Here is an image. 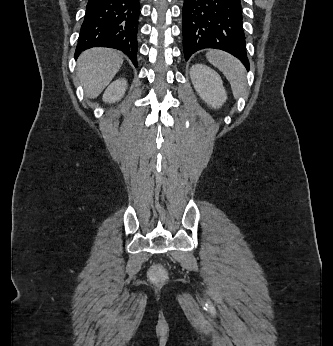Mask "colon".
Returning <instances> with one entry per match:
<instances>
[{"instance_id": "colon-1", "label": "colon", "mask_w": 333, "mask_h": 346, "mask_svg": "<svg viewBox=\"0 0 333 346\" xmlns=\"http://www.w3.org/2000/svg\"><path fill=\"white\" fill-rule=\"evenodd\" d=\"M148 275L153 283H158L159 287L163 286L165 280H169V273L164 269L163 264H154L153 269L148 270Z\"/></svg>"}]
</instances>
